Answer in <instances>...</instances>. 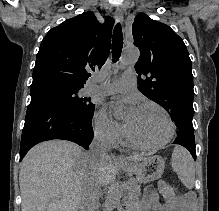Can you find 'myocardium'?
<instances>
[{"label":"myocardium","mask_w":219,"mask_h":211,"mask_svg":"<svg viewBox=\"0 0 219 211\" xmlns=\"http://www.w3.org/2000/svg\"><path fill=\"white\" fill-rule=\"evenodd\" d=\"M146 106H154V107L160 109L164 113V115L166 116L167 121H168V125H169V130H168V134L165 137V139L159 143H156V144H144V143L138 142L128 132L126 125L124 126V135H125V138L127 139V141L129 142V144L132 145L133 147L140 148V149H146V150L159 149V148L165 146L166 144H168L172 140L174 133H175V124H174V121H173L172 116L169 113V111L161 104H159L155 101H144L138 106V108H142V107H146Z\"/></svg>","instance_id":"1"}]
</instances>
